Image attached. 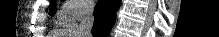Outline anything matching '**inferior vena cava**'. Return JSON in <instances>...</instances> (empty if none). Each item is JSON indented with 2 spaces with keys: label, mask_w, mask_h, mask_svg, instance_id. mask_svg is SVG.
Returning a JSON list of instances; mask_svg holds the SVG:
<instances>
[{
  "label": "inferior vena cava",
  "mask_w": 219,
  "mask_h": 37,
  "mask_svg": "<svg viewBox=\"0 0 219 37\" xmlns=\"http://www.w3.org/2000/svg\"><path fill=\"white\" fill-rule=\"evenodd\" d=\"M94 9L93 7H87L84 11L82 21L77 28V36L79 37H91V30L94 23Z\"/></svg>",
  "instance_id": "obj_1"
}]
</instances>
